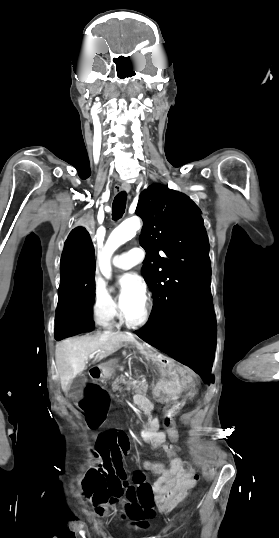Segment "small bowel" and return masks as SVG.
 <instances>
[{
	"label": "small bowel",
	"instance_id": "1",
	"mask_svg": "<svg viewBox=\"0 0 279 538\" xmlns=\"http://www.w3.org/2000/svg\"><path fill=\"white\" fill-rule=\"evenodd\" d=\"M181 403L176 402L170 405L163 415L164 430L160 429L161 422L155 418L146 424L142 434L143 438L154 448L161 449L172 457V467L166 469L162 464L144 461L143 466L160 475L154 484L156 502L159 508H168L174 501L183 496L195 483V481H185L178 474L179 457L176 447L167 443V439L175 442L178 433L175 428V417L179 412Z\"/></svg>",
	"mask_w": 279,
	"mask_h": 538
}]
</instances>
